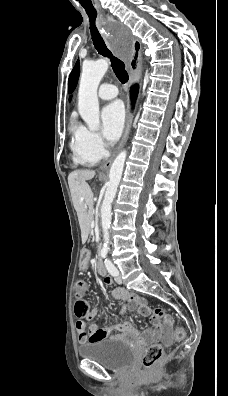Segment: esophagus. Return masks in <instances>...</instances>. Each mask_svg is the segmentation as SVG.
I'll list each match as a JSON object with an SVG mask.
<instances>
[{
    "mask_svg": "<svg viewBox=\"0 0 228 396\" xmlns=\"http://www.w3.org/2000/svg\"><path fill=\"white\" fill-rule=\"evenodd\" d=\"M132 47H133V55H132V58L129 60L128 65H129V73H130L131 82L135 83L140 79L141 73H142V60H141L142 47H141V42L139 41V39L135 38L133 40ZM132 119H133V116H132V113H131L130 107H129L123 136H122L116 150L112 154V156L101 166V170H103V171L107 170L111 166L114 157L126 143L128 136L130 134V131H131Z\"/></svg>",
    "mask_w": 228,
    "mask_h": 396,
    "instance_id": "obj_1",
    "label": "esophagus"
}]
</instances>
